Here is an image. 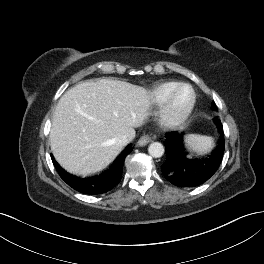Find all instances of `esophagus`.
Wrapping results in <instances>:
<instances>
[{
    "mask_svg": "<svg viewBox=\"0 0 264 264\" xmlns=\"http://www.w3.org/2000/svg\"><path fill=\"white\" fill-rule=\"evenodd\" d=\"M153 137L149 136V135H143L142 137L139 138V140L137 141L136 145L138 147H142L147 145L148 143L152 142Z\"/></svg>",
    "mask_w": 264,
    "mask_h": 264,
    "instance_id": "esophagus-1",
    "label": "esophagus"
}]
</instances>
